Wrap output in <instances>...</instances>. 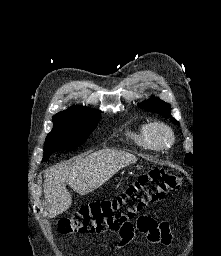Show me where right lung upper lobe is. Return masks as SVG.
<instances>
[{
	"instance_id": "obj_1",
	"label": "right lung upper lobe",
	"mask_w": 221,
	"mask_h": 256,
	"mask_svg": "<svg viewBox=\"0 0 221 256\" xmlns=\"http://www.w3.org/2000/svg\"><path fill=\"white\" fill-rule=\"evenodd\" d=\"M82 108H84V107H83V106H72V107L69 108L68 110L61 111V112L57 113L56 115H64V114L77 113V112H79Z\"/></svg>"
}]
</instances>
